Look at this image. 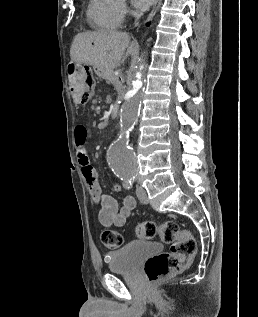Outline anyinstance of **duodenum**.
Listing matches in <instances>:
<instances>
[{
  "label": "duodenum",
  "instance_id": "410a0bca",
  "mask_svg": "<svg viewBox=\"0 0 258 317\" xmlns=\"http://www.w3.org/2000/svg\"><path fill=\"white\" fill-rule=\"evenodd\" d=\"M82 70L78 66L69 65L67 67V80L70 90L77 92L81 84Z\"/></svg>",
  "mask_w": 258,
  "mask_h": 317
}]
</instances>
